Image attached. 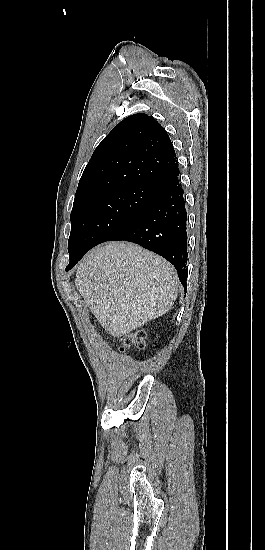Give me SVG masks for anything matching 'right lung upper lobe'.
Segmentation results:
<instances>
[{"label": "right lung upper lobe", "instance_id": "right-lung-upper-lobe-1", "mask_svg": "<svg viewBox=\"0 0 265 550\" xmlns=\"http://www.w3.org/2000/svg\"><path fill=\"white\" fill-rule=\"evenodd\" d=\"M177 164L165 129L146 114L131 115L95 149L79 181L74 203L119 188L159 185Z\"/></svg>", "mask_w": 265, "mask_h": 550}]
</instances>
